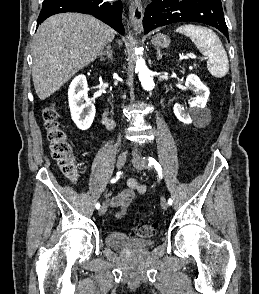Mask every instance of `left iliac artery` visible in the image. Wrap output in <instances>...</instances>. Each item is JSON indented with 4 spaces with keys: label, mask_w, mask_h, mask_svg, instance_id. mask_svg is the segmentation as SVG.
Instances as JSON below:
<instances>
[{
    "label": "left iliac artery",
    "mask_w": 259,
    "mask_h": 294,
    "mask_svg": "<svg viewBox=\"0 0 259 294\" xmlns=\"http://www.w3.org/2000/svg\"><path fill=\"white\" fill-rule=\"evenodd\" d=\"M148 166H154L160 178H162V168L160 164L152 157L148 158ZM173 200L171 198L168 199V204L172 205Z\"/></svg>",
    "instance_id": "obj_1"
}]
</instances>
